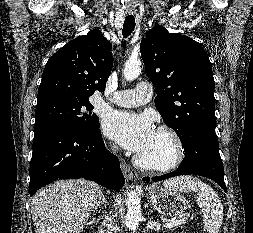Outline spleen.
I'll list each match as a JSON object with an SVG mask.
<instances>
[{"label":"spleen","instance_id":"3e777b00","mask_svg":"<svg viewBox=\"0 0 253 233\" xmlns=\"http://www.w3.org/2000/svg\"><path fill=\"white\" fill-rule=\"evenodd\" d=\"M180 192L197 193L196 201L203 212V224L209 233H218L223 221V206L217 193L198 178L182 176L164 182Z\"/></svg>","mask_w":253,"mask_h":233}]
</instances>
